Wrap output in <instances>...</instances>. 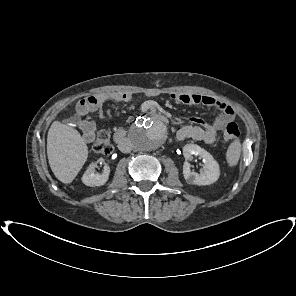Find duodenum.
I'll use <instances>...</instances> for the list:
<instances>
[{
  "label": "duodenum",
  "instance_id": "duodenum-1",
  "mask_svg": "<svg viewBox=\"0 0 296 296\" xmlns=\"http://www.w3.org/2000/svg\"><path fill=\"white\" fill-rule=\"evenodd\" d=\"M151 114L159 122H162V123H167L168 122V118L162 113L152 112ZM114 141L116 142V144L118 145V147L122 151L127 150L128 147H129V141H128L127 137H126V131L124 129H118L114 133Z\"/></svg>",
  "mask_w": 296,
  "mask_h": 296
}]
</instances>
